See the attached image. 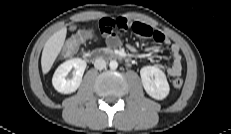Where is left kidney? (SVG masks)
<instances>
[{
    "instance_id": "obj_1",
    "label": "left kidney",
    "mask_w": 231,
    "mask_h": 134,
    "mask_svg": "<svg viewBox=\"0 0 231 134\" xmlns=\"http://www.w3.org/2000/svg\"><path fill=\"white\" fill-rule=\"evenodd\" d=\"M143 87L156 100L167 97L170 87L165 73L156 66H145L140 70Z\"/></svg>"
}]
</instances>
